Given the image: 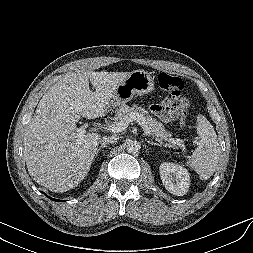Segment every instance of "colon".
<instances>
[{
    "mask_svg": "<svg viewBox=\"0 0 253 253\" xmlns=\"http://www.w3.org/2000/svg\"><path fill=\"white\" fill-rule=\"evenodd\" d=\"M158 83L161 88L170 92L172 98L178 101L183 122L185 123L187 119L189 101L183 93L184 82L182 79L169 73L161 72L158 75Z\"/></svg>",
    "mask_w": 253,
    "mask_h": 253,
    "instance_id": "1",
    "label": "colon"
}]
</instances>
